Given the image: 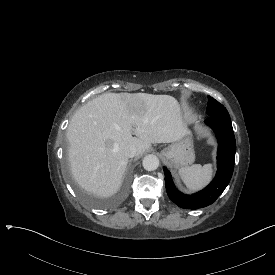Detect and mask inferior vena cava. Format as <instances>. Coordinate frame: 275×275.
<instances>
[{
	"label": "inferior vena cava",
	"instance_id": "obj_1",
	"mask_svg": "<svg viewBox=\"0 0 275 275\" xmlns=\"http://www.w3.org/2000/svg\"><path fill=\"white\" fill-rule=\"evenodd\" d=\"M124 154L128 158H133L134 156H136L138 154V150L135 145H127L124 148Z\"/></svg>",
	"mask_w": 275,
	"mask_h": 275
}]
</instances>
